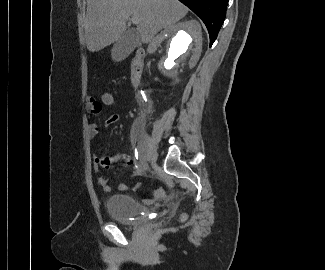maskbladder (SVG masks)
<instances>
[{
    "instance_id": "31cf9c89",
    "label": "bladder",
    "mask_w": 325,
    "mask_h": 270,
    "mask_svg": "<svg viewBox=\"0 0 325 270\" xmlns=\"http://www.w3.org/2000/svg\"><path fill=\"white\" fill-rule=\"evenodd\" d=\"M105 206L112 219L126 225H133L148 216V209L129 195H111Z\"/></svg>"
}]
</instances>
